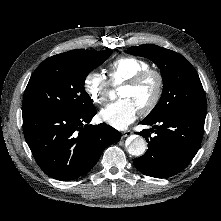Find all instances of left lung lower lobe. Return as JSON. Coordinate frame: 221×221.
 I'll list each match as a JSON object with an SVG mask.
<instances>
[{"label":"left lung lower lobe","mask_w":221,"mask_h":221,"mask_svg":"<svg viewBox=\"0 0 221 221\" xmlns=\"http://www.w3.org/2000/svg\"><path fill=\"white\" fill-rule=\"evenodd\" d=\"M206 115L172 113L146 117L141 124L153 126L139 134L148 149L133 160L143 174L155 178L171 177L182 171L196 155L203 137ZM155 132V136L151 133Z\"/></svg>","instance_id":"1"}]
</instances>
